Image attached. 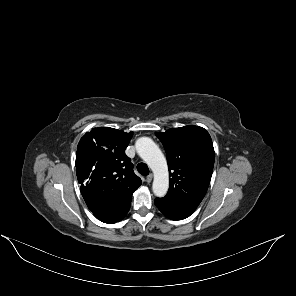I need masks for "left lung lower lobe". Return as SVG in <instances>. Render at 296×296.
I'll return each mask as SVG.
<instances>
[{
    "label": "left lung lower lobe",
    "mask_w": 296,
    "mask_h": 296,
    "mask_svg": "<svg viewBox=\"0 0 296 296\" xmlns=\"http://www.w3.org/2000/svg\"><path fill=\"white\" fill-rule=\"evenodd\" d=\"M155 205L158 209L169 219L182 220L189 217L196 208L191 207H177L162 203L158 198L154 200Z\"/></svg>",
    "instance_id": "obj_1"
}]
</instances>
